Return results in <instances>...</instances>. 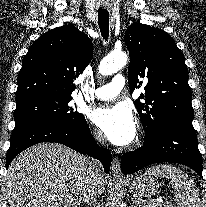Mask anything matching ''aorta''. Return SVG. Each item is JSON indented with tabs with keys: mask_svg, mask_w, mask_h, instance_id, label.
Returning a JSON list of instances; mask_svg holds the SVG:
<instances>
[{
	"mask_svg": "<svg viewBox=\"0 0 206 207\" xmlns=\"http://www.w3.org/2000/svg\"><path fill=\"white\" fill-rule=\"evenodd\" d=\"M128 60L125 52H111L108 54L99 65V73L102 75H111L118 72Z\"/></svg>",
	"mask_w": 206,
	"mask_h": 207,
	"instance_id": "aorta-1",
	"label": "aorta"
}]
</instances>
